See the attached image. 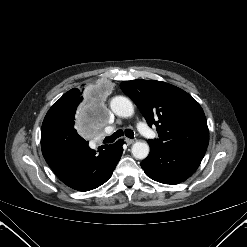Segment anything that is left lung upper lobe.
Masks as SVG:
<instances>
[{
    "label": "left lung upper lobe",
    "mask_w": 247,
    "mask_h": 247,
    "mask_svg": "<svg viewBox=\"0 0 247 247\" xmlns=\"http://www.w3.org/2000/svg\"><path fill=\"white\" fill-rule=\"evenodd\" d=\"M159 139L148 142L171 148L185 143L207 146L209 130L201 106L182 89L162 81L132 80L120 84Z\"/></svg>",
    "instance_id": "5c2ea615"
}]
</instances>
